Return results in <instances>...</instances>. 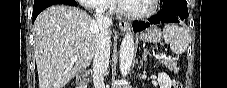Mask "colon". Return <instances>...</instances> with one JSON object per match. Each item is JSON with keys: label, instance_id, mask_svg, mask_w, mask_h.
Here are the masks:
<instances>
[{"label": "colon", "instance_id": "5ec220e1", "mask_svg": "<svg viewBox=\"0 0 227 88\" xmlns=\"http://www.w3.org/2000/svg\"><path fill=\"white\" fill-rule=\"evenodd\" d=\"M174 88H181V85H180L178 82H176V83L174 84Z\"/></svg>", "mask_w": 227, "mask_h": 88}]
</instances>
